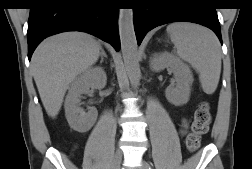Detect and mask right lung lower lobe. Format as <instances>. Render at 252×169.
<instances>
[{"mask_svg": "<svg viewBox=\"0 0 252 169\" xmlns=\"http://www.w3.org/2000/svg\"><path fill=\"white\" fill-rule=\"evenodd\" d=\"M118 8L114 0H39L28 20V58L47 36L84 31L120 49Z\"/></svg>", "mask_w": 252, "mask_h": 169, "instance_id": "right-lung-lower-lobe-1", "label": "right lung lower lobe"}]
</instances>
